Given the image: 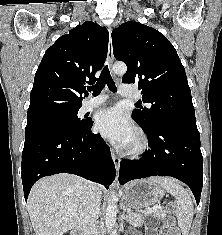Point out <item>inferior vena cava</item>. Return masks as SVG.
Masks as SVG:
<instances>
[{"label": "inferior vena cava", "instance_id": "obj_1", "mask_svg": "<svg viewBox=\"0 0 222 235\" xmlns=\"http://www.w3.org/2000/svg\"><path fill=\"white\" fill-rule=\"evenodd\" d=\"M101 204V191L97 184L89 182L86 203L80 216L84 235H99L97 218Z\"/></svg>", "mask_w": 222, "mask_h": 235}]
</instances>
